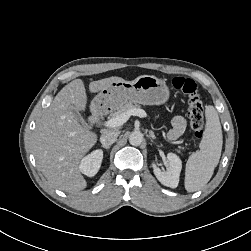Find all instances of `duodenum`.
Masks as SVG:
<instances>
[{"label":"duodenum","instance_id":"obj_1","mask_svg":"<svg viewBox=\"0 0 251 251\" xmlns=\"http://www.w3.org/2000/svg\"><path fill=\"white\" fill-rule=\"evenodd\" d=\"M92 119H93V120H96V119H97V116H94Z\"/></svg>","mask_w":251,"mask_h":251}]
</instances>
